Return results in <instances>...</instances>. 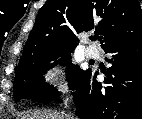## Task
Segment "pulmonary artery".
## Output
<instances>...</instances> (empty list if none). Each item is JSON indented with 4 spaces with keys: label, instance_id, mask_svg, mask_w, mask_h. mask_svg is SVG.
<instances>
[{
    "label": "pulmonary artery",
    "instance_id": "1",
    "mask_svg": "<svg viewBox=\"0 0 142 119\" xmlns=\"http://www.w3.org/2000/svg\"><path fill=\"white\" fill-rule=\"evenodd\" d=\"M85 54L88 58H92V59H97L99 58V55H100L98 49L94 46L86 47Z\"/></svg>",
    "mask_w": 142,
    "mask_h": 119
}]
</instances>
